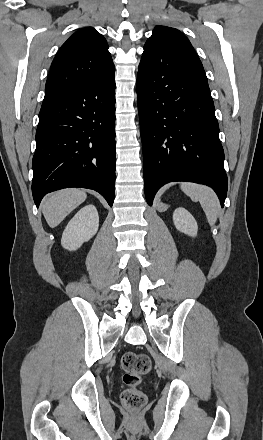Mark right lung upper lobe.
Returning a JSON list of instances; mask_svg holds the SVG:
<instances>
[{
    "mask_svg": "<svg viewBox=\"0 0 263 440\" xmlns=\"http://www.w3.org/2000/svg\"><path fill=\"white\" fill-rule=\"evenodd\" d=\"M115 73L105 38L88 27L74 33L55 56L44 100L108 78Z\"/></svg>",
    "mask_w": 263,
    "mask_h": 440,
    "instance_id": "right-lung-upper-lobe-1",
    "label": "right lung upper lobe"
}]
</instances>
